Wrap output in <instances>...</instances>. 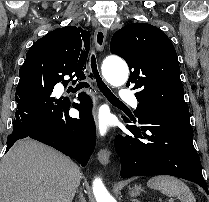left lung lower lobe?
<instances>
[{
	"label": "left lung lower lobe",
	"instance_id": "0a47b994",
	"mask_svg": "<svg viewBox=\"0 0 209 202\" xmlns=\"http://www.w3.org/2000/svg\"><path fill=\"white\" fill-rule=\"evenodd\" d=\"M130 135H117L121 177L172 175L200 185L207 194L199 156L193 146L190 114L144 105L137 108ZM126 123L131 121L123 117ZM141 124L142 126H139Z\"/></svg>",
	"mask_w": 209,
	"mask_h": 202
}]
</instances>
